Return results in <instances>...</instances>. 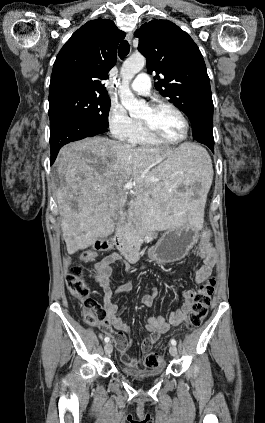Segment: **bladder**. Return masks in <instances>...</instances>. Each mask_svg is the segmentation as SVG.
<instances>
[{"label": "bladder", "mask_w": 265, "mask_h": 423, "mask_svg": "<svg viewBox=\"0 0 265 423\" xmlns=\"http://www.w3.org/2000/svg\"><path fill=\"white\" fill-rule=\"evenodd\" d=\"M124 374L134 378H148L160 375L163 372V368L154 369H142V368H131L126 365L122 366Z\"/></svg>", "instance_id": "31cf9c89"}]
</instances>
